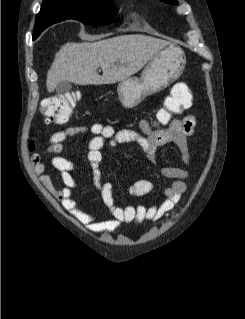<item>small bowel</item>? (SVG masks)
<instances>
[{
    "instance_id": "small-bowel-1",
    "label": "small bowel",
    "mask_w": 245,
    "mask_h": 319,
    "mask_svg": "<svg viewBox=\"0 0 245 319\" xmlns=\"http://www.w3.org/2000/svg\"><path fill=\"white\" fill-rule=\"evenodd\" d=\"M180 90L186 92L185 103L190 106L192 104V95L187 85L183 82H178L172 88V92ZM195 125V118L188 115L182 119L171 120L165 129H153L145 119L139 122V130L128 128L116 130L113 126L102 124H93L87 128L67 127L64 130L54 132L49 137V147L47 149L48 153L53 154L51 164L60 172L64 186L56 187L51 177L48 174H44L45 164L41 159V154L33 156V169L51 195L93 232L110 233L122 223L128 222H155L160 220L181 200L182 195L187 190L185 183L187 172L176 166L158 167L159 175L171 181L168 186L159 189L152 181L140 179L130 183L127 191L129 194L139 197L159 190L161 193L160 200L150 206L142 204L122 206L115 202L112 183L101 181L99 169L102 161L101 149L105 144L114 146L124 143H136L144 150L148 161L156 165L158 150L166 145H174L178 148L182 161L187 164L191 158L188 140L194 132ZM84 131L94 135L87 147V160L92 169L94 184L108 209L106 215H96L80 209L78 202L72 196L73 190L77 187L73 176L76 166L71 160L58 155L63 150L64 143L68 138Z\"/></svg>"
}]
</instances>
